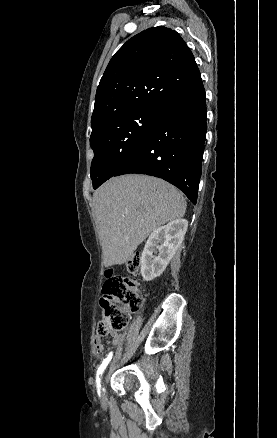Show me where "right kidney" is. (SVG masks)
<instances>
[{"instance_id":"1","label":"right kidney","mask_w":277,"mask_h":438,"mask_svg":"<svg viewBox=\"0 0 277 438\" xmlns=\"http://www.w3.org/2000/svg\"><path fill=\"white\" fill-rule=\"evenodd\" d=\"M187 228V220L181 218L153 230L144 246L140 262L141 276L145 282H151L161 276L181 246Z\"/></svg>"}]
</instances>
